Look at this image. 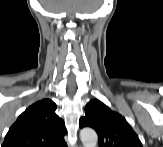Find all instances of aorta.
Returning <instances> with one entry per match:
<instances>
[{
	"instance_id": "obj_1",
	"label": "aorta",
	"mask_w": 163,
	"mask_h": 147,
	"mask_svg": "<svg viewBox=\"0 0 163 147\" xmlns=\"http://www.w3.org/2000/svg\"><path fill=\"white\" fill-rule=\"evenodd\" d=\"M80 138L84 147H96L98 137L93 129L83 128L80 131Z\"/></svg>"
}]
</instances>
